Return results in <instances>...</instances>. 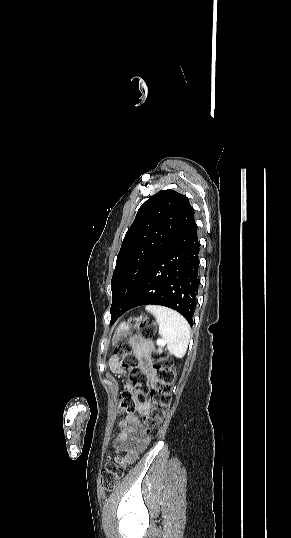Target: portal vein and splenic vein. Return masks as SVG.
Listing matches in <instances>:
<instances>
[{
    "mask_svg": "<svg viewBox=\"0 0 291 538\" xmlns=\"http://www.w3.org/2000/svg\"><path fill=\"white\" fill-rule=\"evenodd\" d=\"M157 344H158V345H162V344H163V341L160 340V339H158V340H157Z\"/></svg>",
    "mask_w": 291,
    "mask_h": 538,
    "instance_id": "18ae733b",
    "label": "portal vein and splenic vein"
}]
</instances>
